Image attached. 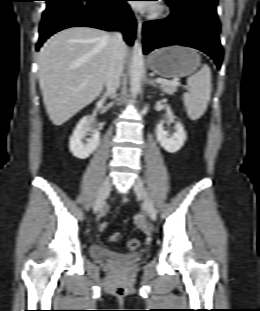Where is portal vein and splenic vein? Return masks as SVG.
Masks as SVG:
<instances>
[{
  "instance_id": "18ae733b",
  "label": "portal vein and splenic vein",
  "mask_w": 260,
  "mask_h": 311,
  "mask_svg": "<svg viewBox=\"0 0 260 311\" xmlns=\"http://www.w3.org/2000/svg\"><path fill=\"white\" fill-rule=\"evenodd\" d=\"M155 82L156 83H159V84H167V85H179V82L178 81H168V80H165V79H162V78H156L155 79Z\"/></svg>"
}]
</instances>
